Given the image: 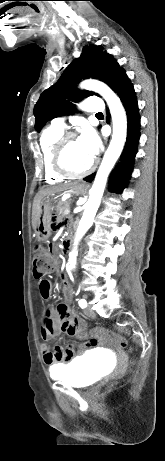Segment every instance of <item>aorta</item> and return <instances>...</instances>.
<instances>
[{
    "instance_id": "obj_1",
    "label": "aorta",
    "mask_w": 165,
    "mask_h": 461,
    "mask_svg": "<svg viewBox=\"0 0 165 461\" xmlns=\"http://www.w3.org/2000/svg\"><path fill=\"white\" fill-rule=\"evenodd\" d=\"M80 88L97 92L105 99L112 117L113 134L109 147L104 154L103 160L96 174L92 188L90 189L89 199L84 206L83 216L80 220L75 236L74 248L69 253L67 264L68 270H73L76 266L78 255L76 248L78 242L93 224L94 217L100 206L101 198L104 193L107 178L123 150L127 135L126 113L118 96L105 83L98 80H85L81 82Z\"/></svg>"
}]
</instances>
